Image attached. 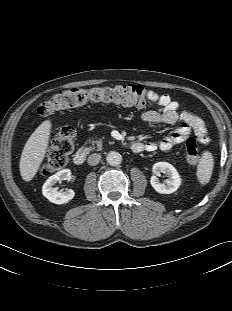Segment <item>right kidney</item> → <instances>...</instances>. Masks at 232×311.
Returning a JSON list of instances; mask_svg holds the SVG:
<instances>
[{
	"label": "right kidney",
	"instance_id": "1",
	"mask_svg": "<svg viewBox=\"0 0 232 311\" xmlns=\"http://www.w3.org/2000/svg\"><path fill=\"white\" fill-rule=\"evenodd\" d=\"M72 178L71 171L69 169H63L56 174L50 176L42 187L43 195L52 203L64 204L74 198L75 192L71 189L65 191H58L53 186L59 181L70 180Z\"/></svg>",
	"mask_w": 232,
	"mask_h": 311
}]
</instances>
